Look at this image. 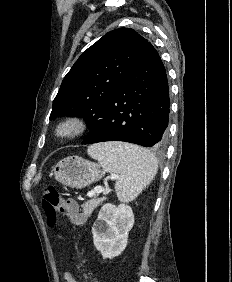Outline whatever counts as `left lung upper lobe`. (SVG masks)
I'll list each match as a JSON object with an SVG mask.
<instances>
[{"instance_id":"5c2ea615","label":"left lung upper lobe","mask_w":232,"mask_h":282,"mask_svg":"<svg viewBox=\"0 0 232 282\" xmlns=\"http://www.w3.org/2000/svg\"><path fill=\"white\" fill-rule=\"evenodd\" d=\"M147 43V39L130 28L104 35L82 53L63 79L53 100L50 120L77 116L92 128L133 71Z\"/></svg>"}]
</instances>
